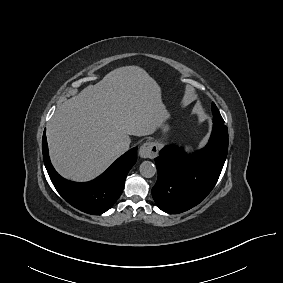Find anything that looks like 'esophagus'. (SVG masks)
<instances>
[{
	"instance_id": "34e87169",
	"label": "esophagus",
	"mask_w": 283,
	"mask_h": 283,
	"mask_svg": "<svg viewBox=\"0 0 283 283\" xmlns=\"http://www.w3.org/2000/svg\"><path fill=\"white\" fill-rule=\"evenodd\" d=\"M158 154V146L154 142H146L144 143L139 150L140 157L147 159H153Z\"/></svg>"
}]
</instances>
